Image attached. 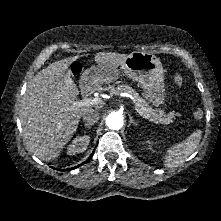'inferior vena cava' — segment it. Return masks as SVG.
<instances>
[{
  "label": "inferior vena cava",
  "mask_w": 221,
  "mask_h": 221,
  "mask_svg": "<svg viewBox=\"0 0 221 221\" xmlns=\"http://www.w3.org/2000/svg\"><path fill=\"white\" fill-rule=\"evenodd\" d=\"M99 120V112L91 109L83 115L85 125H93Z\"/></svg>",
  "instance_id": "602c4592"
}]
</instances>
